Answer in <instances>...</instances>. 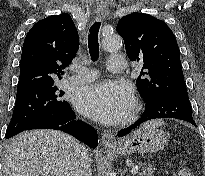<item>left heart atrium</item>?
Segmentation results:
<instances>
[{
    "label": "left heart atrium",
    "instance_id": "obj_1",
    "mask_svg": "<svg viewBox=\"0 0 205 176\" xmlns=\"http://www.w3.org/2000/svg\"><path fill=\"white\" fill-rule=\"evenodd\" d=\"M79 112L106 124L123 120L134 106L130 86L118 81H101L81 88L75 97Z\"/></svg>",
    "mask_w": 205,
    "mask_h": 176
}]
</instances>
